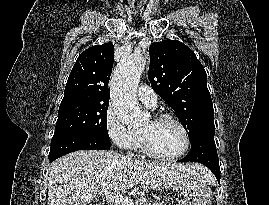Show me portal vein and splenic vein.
I'll return each mask as SVG.
<instances>
[{"label":"portal vein and splenic vein","instance_id":"18ae733b","mask_svg":"<svg viewBox=\"0 0 269 205\" xmlns=\"http://www.w3.org/2000/svg\"><path fill=\"white\" fill-rule=\"evenodd\" d=\"M101 193L106 197V199L116 203L117 205H134L132 199L127 196H123L121 194L111 192L110 184L109 183H103L101 185Z\"/></svg>","mask_w":269,"mask_h":205}]
</instances>
